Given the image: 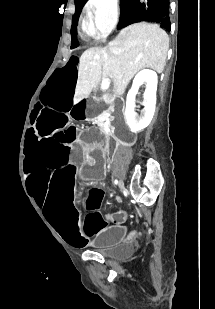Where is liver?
Wrapping results in <instances>:
<instances>
[{"instance_id":"obj_1","label":"liver","mask_w":215,"mask_h":309,"mask_svg":"<svg viewBox=\"0 0 215 309\" xmlns=\"http://www.w3.org/2000/svg\"><path fill=\"white\" fill-rule=\"evenodd\" d=\"M169 36L159 24L135 22L122 28L104 48H87L80 56L74 104L87 98L102 78H112L114 94H123L141 68L163 72Z\"/></svg>"}]
</instances>
